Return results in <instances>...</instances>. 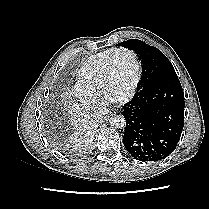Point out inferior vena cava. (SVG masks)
I'll return each mask as SVG.
<instances>
[{"mask_svg":"<svg viewBox=\"0 0 209 209\" xmlns=\"http://www.w3.org/2000/svg\"><path fill=\"white\" fill-rule=\"evenodd\" d=\"M105 112H106L105 109H101V110H100V114H101V115L105 114Z\"/></svg>","mask_w":209,"mask_h":209,"instance_id":"602c4592","label":"inferior vena cava"}]
</instances>
